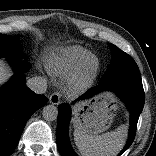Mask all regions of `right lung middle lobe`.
Wrapping results in <instances>:
<instances>
[{"label":"right lung middle lobe","instance_id":"obj_1","mask_svg":"<svg viewBox=\"0 0 156 156\" xmlns=\"http://www.w3.org/2000/svg\"><path fill=\"white\" fill-rule=\"evenodd\" d=\"M19 36H7L0 34V57L8 59H20L21 46Z\"/></svg>","mask_w":156,"mask_h":156}]
</instances>
